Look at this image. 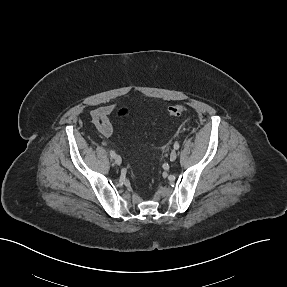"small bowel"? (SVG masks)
<instances>
[{
	"label": "small bowel",
	"mask_w": 287,
	"mask_h": 287,
	"mask_svg": "<svg viewBox=\"0 0 287 287\" xmlns=\"http://www.w3.org/2000/svg\"><path fill=\"white\" fill-rule=\"evenodd\" d=\"M116 108V105H104L93 110L90 114L96 129L106 138L111 137L115 132V128L109 120V116L115 112Z\"/></svg>",
	"instance_id": "obj_1"
}]
</instances>
